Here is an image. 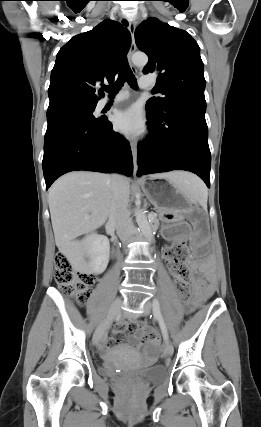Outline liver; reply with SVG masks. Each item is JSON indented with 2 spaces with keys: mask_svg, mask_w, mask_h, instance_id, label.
I'll return each mask as SVG.
<instances>
[{
  "mask_svg": "<svg viewBox=\"0 0 261 427\" xmlns=\"http://www.w3.org/2000/svg\"><path fill=\"white\" fill-rule=\"evenodd\" d=\"M183 176V172H170L152 177L178 183ZM111 179V176L98 172H70L49 190L48 204L56 246L62 253L77 249L82 266H86L85 244L75 239L105 224L112 199ZM126 182L129 186L128 179Z\"/></svg>",
  "mask_w": 261,
  "mask_h": 427,
  "instance_id": "liver-1",
  "label": "liver"
}]
</instances>
